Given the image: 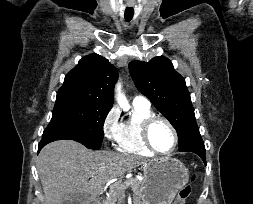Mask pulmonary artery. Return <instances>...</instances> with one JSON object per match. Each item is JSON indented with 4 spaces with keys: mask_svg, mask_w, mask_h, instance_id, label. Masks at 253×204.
I'll return each mask as SVG.
<instances>
[{
    "mask_svg": "<svg viewBox=\"0 0 253 204\" xmlns=\"http://www.w3.org/2000/svg\"><path fill=\"white\" fill-rule=\"evenodd\" d=\"M133 105L143 106V107H150V101L142 95H136L133 98Z\"/></svg>",
    "mask_w": 253,
    "mask_h": 204,
    "instance_id": "1",
    "label": "pulmonary artery"
}]
</instances>
